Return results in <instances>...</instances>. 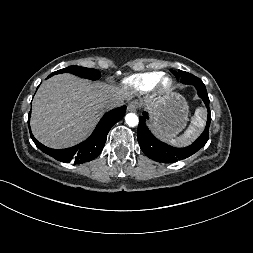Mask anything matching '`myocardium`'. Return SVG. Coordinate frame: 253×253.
<instances>
[{"instance_id":"myocardium-1","label":"myocardium","mask_w":253,"mask_h":253,"mask_svg":"<svg viewBox=\"0 0 253 253\" xmlns=\"http://www.w3.org/2000/svg\"><path fill=\"white\" fill-rule=\"evenodd\" d=\"M166 81H168L166 83ZM174 88V79L170 75L163 74L155 85V94L164 96L169 94Z\"/></svg>"}]
</instances>
